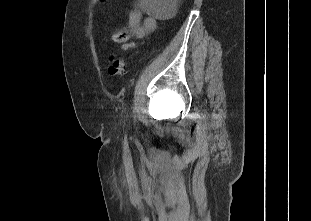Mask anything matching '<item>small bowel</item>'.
<instances>
[{"mask_svg": "<svg viewBox=\"0 0 311 221\" xmlns=\"http://www.w3.org/2000/svg\"><path fill=\"white\" fill-rule=\"evenodd\" d=\"M157 26V21L154 17L147 16L142 18L140 11L134 10L128 17V28L130 33L138 38L144 37L146 34L154 31ZM134 43H125L122 46L123 50L134 48Z\"/></svg>", "mask_w": 311, "mask_h": 221, "instance_id": "small-bowel-1", "label": "small bowel"}]
</instances>
